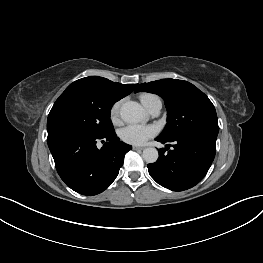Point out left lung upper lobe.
<instances>
[{"label":"left lung upper lobe","mask_w":263,"mask_h":263,"mask_svg":"<svg viewBox=\"0 0 263 263\" xmlns=\"http://www.w3.org/2000/svg\"><path fill=\"white\" fill-rule=\"evenodd\" d=\"M159 95L165 103L167 125L159 136L171 140L183 135L203 134L217 137L219 132L215 107L193 84L176 79H161L140 84L135 92Z\"/></svg>","instance_id":"left-lung-upper-lobe-1"}]
</instances>
